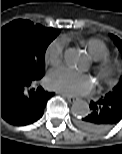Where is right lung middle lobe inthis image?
Listing matches in <instances>:
<instances>
[{"label":"right lung middle lobe","instance_id":"dd1d6c3e","mask_svg":"<svg viewBox=\"0 0 122 154\" xmlns=\"http://www.w3.org/2000/svg\"><path fill=\"white\" fill-rule=\"evenodd\" d=\"M58 34L54 28L14 20L1 28V61L19 64L32 78H42L45 51Z\"/></svg>","mask_w":122,"mask_h":154}]
</instances>
